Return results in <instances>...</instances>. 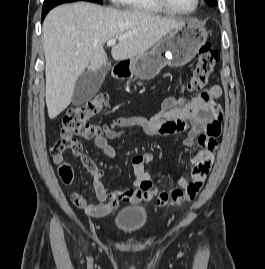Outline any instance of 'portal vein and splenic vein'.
Instances as JSON below:
<instances>
[{
    "instance_id": "portal-vein-and-splenic-vein-1",
    "label": "portal vein and splenic vein",
    "mask_w": 265,
    "mask_h": 269,
    "mask_svg": "<svg viewBox=\"0 0 265 269\" xmlns=\"http://www.w3.org/2000/svg\"><path fill=\"white\" fill-rule=\"evenodd\" d=\"M123 38H115V39H110L107 41V46L111 47L114 46L117 40H122Z\"/></svg>"
}]
</instances>
